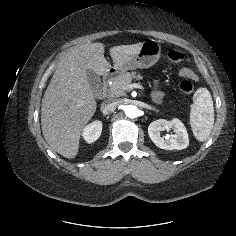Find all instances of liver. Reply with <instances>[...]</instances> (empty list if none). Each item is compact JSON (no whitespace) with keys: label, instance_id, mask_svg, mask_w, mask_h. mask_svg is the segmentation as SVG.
I'll list each match as a JSON object with an SVG mask.
<instances>
[{"label":"liver","instance_id":"liver-1","mask_svg":"<svg viewBox=\"0 0 236 236\" xmlns=\"http://www.w3.org/2000/svg\"><path fill=\"white\" fill-rule=\"evenodd\" d=\"M142 43L110 48L113 68L122 67L140 51ZM103 43H82L61 58L41 104V125L46 142L57 153L73 159L78 154L83 129L96 111L87 70L106 75L111 68Z\"/></svg>","mask_w":236,"mask_h":236}]
</instances>
